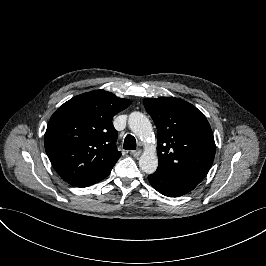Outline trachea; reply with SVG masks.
<instances>
[{
    "label": "trachea",
    "instance_id": "trachea-1",
    "mask_svg": "<svg viewBox=\"0 0 266 266\" xmlns=\"http://www.w3.org/2000/svg\"><path fill=\"white\" fill-rule=\"evenodd\" d=\"M136 146L135 138L128 134L124 140L123 148L126 150H135Z\"/></svg>",
    "mask_w": 266,
    "mask_h": 266
}]
</instances>
